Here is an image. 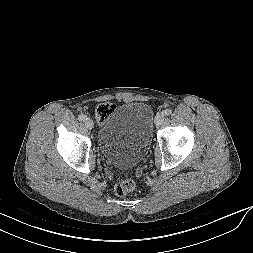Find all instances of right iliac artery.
<instances>
[{
	"mask_svg": "<svg viewBox=\"0 0 253 253\" xmlns=\"http://www.w3.org/2000/svg\"><path fill=\"white\" fill-rule=\"evenodd\" d=\"M78 119L81 120V121H84L86 119V116L84 114H80L78 116Z\"/></svg>",
	"mask_w": 253,
	"mask_h": 253,
	"instance_id": "82829eb1",
	"label": "right iliac artery"
}]
</instances>
